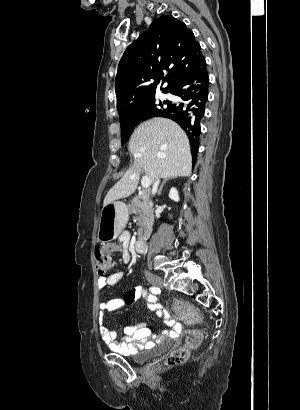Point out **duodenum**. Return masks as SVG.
Segmentation results:
<instances>
[{
  "label": "duodenum",
  "instance_id": "duodenum-1",
  "mask_svg": "<svg viewBox=\"0 0 300 410\" xmlns=\"http://www.w3.org/2000/svg\"><path fill=\"white\" fill-rule=\"evenodd\" d=\"M147 240L148 238L146 237H141L139 239H137L134 243H133V249L136 252H142L146 245H147Z\"/></svg>",
  "mask_w": 300,
  "mask_h": 410
}]
</instances>
